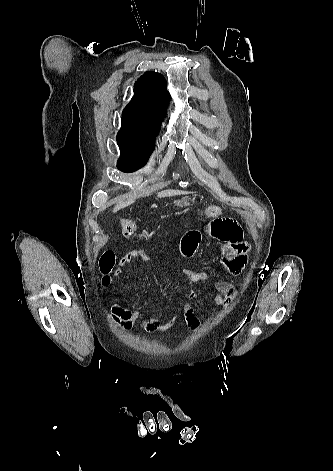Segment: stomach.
Masks as SVG:
<instances>
[{"instance_id": "1", "label": "stomach", "mask_w": 333, "mask_h": 471, "mask_svg": "<svg viewBox=\"0 0 333 471\" xmlns=\"http://www.w3.org/2000/svg\"><path fill=\"white\" fill-rule=\"evenodd\" d=\"M174 203L177 207L183 208L190 205V200L188 198H180L175 200Z\"/></svg>"}]
</instances>
